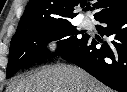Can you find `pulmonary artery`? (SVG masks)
I'll return each instance as SVG.
<instances>
[{
    "label": "pulmonary artery",
    "mask_w": 127,
    "mask_h": 92,
    "mask_svg": "<svg viewBox=\"0 0 127 92\" xmlns=\"http://www.w3.org/2000/svg\"><path fill=\"white\" fill-rule=\"evenodd\" d=\"M82 25H83V27H85V28L91 27L92 22H91L90 18L84 17V18L82 19Z\"/></svg>",
    "instance_id": "1"
}]
</instances>
